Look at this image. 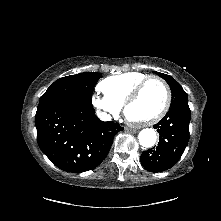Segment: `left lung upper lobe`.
I'll use <instances>...</instances> for the list:
<instances>
[{"mask_svg": "<svg viewBox=\"0 0 221 221\" xmlns=\"http://www.w3.org/2000/svg\"><path fill=\"white\" fill-rule=\"evenodd\" d=\"M155 73L162 77L170 86L172 93L171 106L180 105V104H188V96L187 93L183 90L182 86L171 76L167 74H163L160 72Z\"/></svg>", "mask_w": 221, "mask_h": 221, "instance_id": "5c2ea615", "label": "left lung upper lobe"}]
</instances>
